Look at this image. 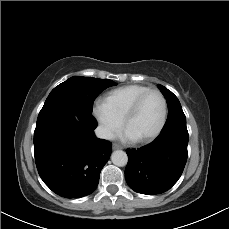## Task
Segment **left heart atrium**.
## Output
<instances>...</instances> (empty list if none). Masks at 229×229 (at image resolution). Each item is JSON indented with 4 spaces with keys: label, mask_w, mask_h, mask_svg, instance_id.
Returning a JSON list of instances; mask_svg holds the SVG:
<instances>
[{
    "label": "left heart atrium",
    "mask_w": 229,
    "mask_h": 229,
    "mask_svg": "<svg viewBox=\"0 0 229 229\" xmlns=\"http://www.w3.org/2000/svg\"><path fill=\"white\" fill-rule=\"evenodd\" d=\"M123 137L126 139V140H130V139H132V138H130L128 135H126V134H123Z\"/></svg>",
    "instance_id": "left-heart-atrium-1"
}]
</instances>
